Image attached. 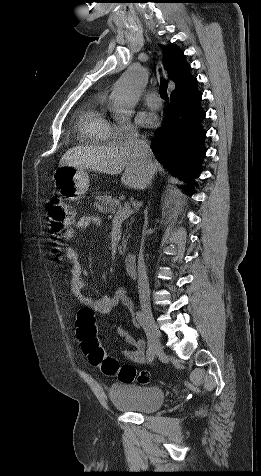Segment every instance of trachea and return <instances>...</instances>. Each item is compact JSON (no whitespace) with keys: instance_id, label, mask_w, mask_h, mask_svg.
Segmentation results:
<instances>
[{"instance_id":"obj_1","label":"trachea","mask_w":261,"mask_h":476,"mask_svg":"<svg viewBox=\"0 0 261 476\" xmlns=\"http://www.w3.org/2000/svg\"><path fill=\"white\" fill-rule=\"evenodd\" d=\"M167 87H168L167 81L162 78L159 92H160L161 98L165 100L168 99Z\"/></svg>"}]
</instances>
